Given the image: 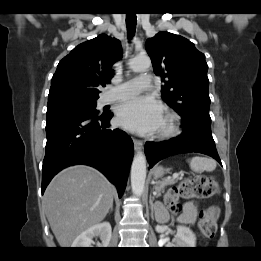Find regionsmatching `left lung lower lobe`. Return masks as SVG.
<instances>
[{
  "instance_id": "left-lung-lower-lobe-1",
  "label": "left lung lower lobe",
  "mask_w": 261,
  "mask_h": 261,
  "mask_svg": "<svg viewBox=\"0 0 261 261\" xmlns=\"http://www.w3.org/2000/svg\"><path fill=\"white\" fill-rule=\"evenodd\" d=\"M181 127L184 129L183 133L177 137L168 141L145 144V154L150 168L166 157L191 152L209 155L221 164L211 133V122L183 121Z\"/></svg>"
}]
</instances>
